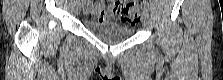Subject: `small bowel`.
I'll return each mask as SVG.
<instances>
[{
	"mask_svg": "<svg viewBox=\"0 0 223 80\" xmlns=\"http://www.w3.org/2000/svg\"><path fill=\"white\" fill-rule=\"evenodd\" d=\"M112 6V3H109L108 5L103 2L90 3L85 8V13L87 16L100 21L120 18L114 14ZM95 13H97V15H95Z\"/></svg>",
	"mask_w": 223,
	"mask_h": 80,
	"instance_id": "1",
	"label": "small bowel"
}]
</instances>
